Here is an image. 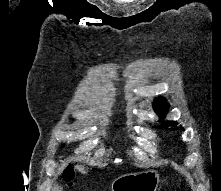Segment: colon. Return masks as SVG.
Listing matches in <instances>:
<instances>
[{
	"mask_svg": "<svg viewBox=\"0 0 221 191\" xmlns=\"http://www.w3.org/2000/svg\"><path fill=\"white\" fill-rule=\"evenodd\" d=\"M63 178L67 183H69V184L72 183V181L74 179V170L70 166H67L64 169Z\"/></svg>",
	"mask_w": 221,
	"mask_h": 191,
	"instance_id": "obj_1",
	"label": "colon"
}]
</instances>
